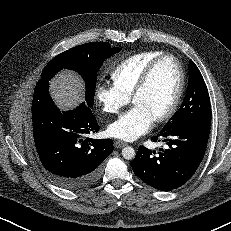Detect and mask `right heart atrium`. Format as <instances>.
Here are the masks:
<instances>
[{"label":"right heart atrium","mask_w":231,"mask_h":231,"mask_svg":"<svg viewBox=\"0 0 231 231\" xmlns=\"http://www.w3.org/2000/svg\"><path fill=\"white\" fill-rule=\"evenodd\" d=\"M96 99L107 114H117L126 106L130 98L125 96L114 84L103 83L96 89Z\"/></svg>","instance_id":"obj_1"}]
</instances>
